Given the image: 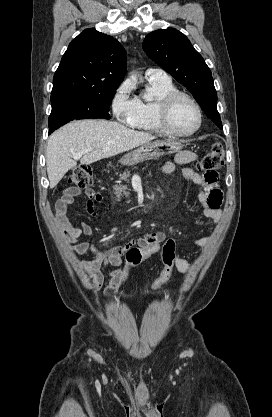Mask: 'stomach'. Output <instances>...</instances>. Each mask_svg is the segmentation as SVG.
<instances>
[{
  "mask_svg": "<svg viewBox=\"0 0 272 417\" xmlns=\"http://www.w3.org/2000/svg\"><path fill=\"white\" fill-rule=\"evenodd\" d=\"M182 148L180 143L155 140L141 145L134 151L125 154L120 162L122 165H135L137 163L157 159L167 154L175 153Z\"/></svg>",
  "mask_w": 272,
  "mask_h": 417,
  "instance_id": "stomach-1",
  "label": "stomach"
}]
</instances>
